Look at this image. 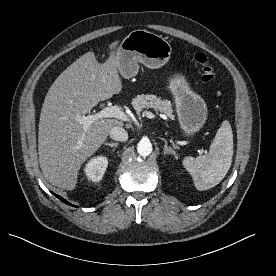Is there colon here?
Masks as SVG:
<instances>
[{
  "instance_id": "colon-1",
  "label": "colon",
  "mask_w": 276,
  "mask_h": 276,
  "mask_svg": "<svg viewBox=\"0 0 276 276\" xmlns=\"http://www.w3.org/2000/svg\"><path fill=\"white\" fill-rule=\"evenodd\" d=\"M195 61L202 66V82L209 86L215 80V71L209 64L208 58L204 53H196Z\"/></svg>"
}]
</instances>
